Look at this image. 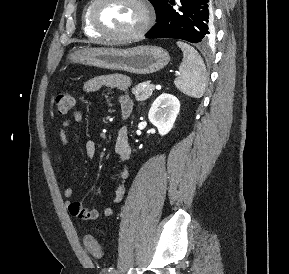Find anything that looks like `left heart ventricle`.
Instances as JSON below:
<instances>
[{
  "label": "left heart ventricle",
  "mask_w": 289,
  "mask_h": 274,
  "mask_svg": "<svg viewBox=\"0 0 289 274\" xmlns=\"http://www.w3.org/2000/svg\"><path fill=\"white\" fill-rule=\"evenodd\" d=\"M96 19L105 30L126 34L139 28L143 15L140 7L132 0H106L98 6Z\"/></svg>",
  "instance_id": "1"
}]
</instances>
